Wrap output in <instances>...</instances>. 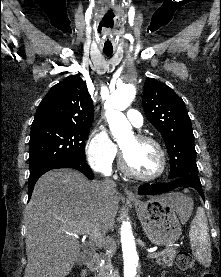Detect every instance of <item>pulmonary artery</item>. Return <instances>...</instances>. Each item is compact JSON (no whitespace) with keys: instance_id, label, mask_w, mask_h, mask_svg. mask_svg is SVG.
<instances>
[{"instance_id":"e3ab8cb5","label":"pulmonary artery","mask_w":221,"mask_h":277,"mask_svg":"<svg viewBox=\"0 0 221 277\" xmlns=\"http://www.w3.org/2000/svg\"><path fill=\"white\" fill-rule=\"evenodd\" d=\"M127 118L129 122L136 128H140L143 124V117L141 113L135 109H130L127 111Z\"/></svg>"}]
</instances>
